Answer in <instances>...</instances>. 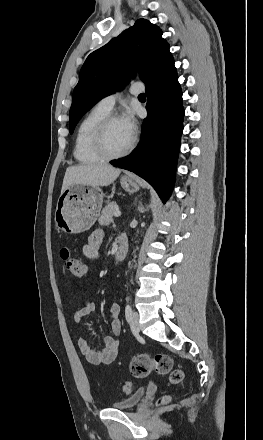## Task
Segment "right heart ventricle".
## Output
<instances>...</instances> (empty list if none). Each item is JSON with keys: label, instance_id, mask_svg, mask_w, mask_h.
I'll list each match as a JSON object with an SVG mask.
<instances>
[{"label": "right heart ventricle", "instance_id": "right-heart-ventricle-1", "mask_svg": "<svg viewBox=\"0 0 263 440\" xmlns=\"http://www.w3.org/2000/svg\"><path fill=\"white\" fill-rule=\"evenodd\" d=\"M109 111L96 105L80 121L74 140V157L81 164H92L104 160L93 149L92 135L98 122Z\"/></svg>", "mask_w": 263, "mask_h": 440}]
</instances>
